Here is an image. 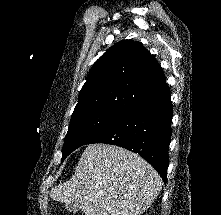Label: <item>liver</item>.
Segmentation results:
<instances>
[{"mask_svg": "<svg viewBox=\"0 0 221 215\" xmlns=\"http://www.w3.org/2000/svg\"><path fill=\"white\" fill-rule=\"evenodd\" d=\"M162 180L142 157L122 147L90 144L67 182L50 197L81 202L85 215H140L157 198Z\"/></svg>", "mask_w": 221, "mask_h": 215, "instance_id": "liver-1", "label": "liver"}]
</instances>
